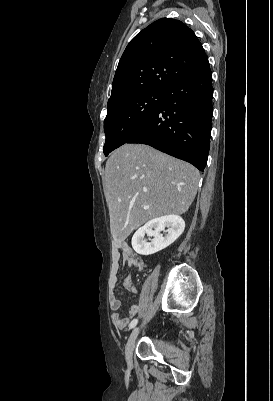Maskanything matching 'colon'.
Here are the masks:
<instances>
[{"instance_id":"5ec220e1","label":"colon","mask_w":273,"mask_h":401,"mask_svg":"<svg viewBox=\"0 0 273 401\" xmlns=\"http://www.w3.org/2000/svg\"><path fill=\"white\" fill-rule=\"evenodd\" d=\"M123 290L125 293H133L135 290V287L133 284H125L123 287Z\"/></svg>"}]
</instances>
